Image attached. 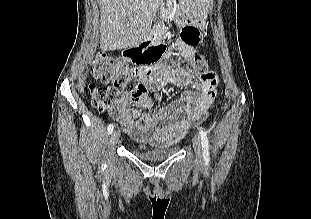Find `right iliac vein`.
Instances as JSON below:
<instances>
[{"label":"right iliac vein","instance_id":"1","mask_svg":"<svg viewBox=\"0 0 311 219\" xmlns=\"http://www.w3.org/2000/svg\"><path fill=\"white\" fill-rule=\"evenodd\" d=\"M118 141H119V133L116 130H114L111 132L110 136L111 147L113 148Z\"/></svg>","mask_w":311,"mask_h":219}]
</instances>
